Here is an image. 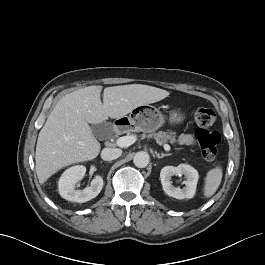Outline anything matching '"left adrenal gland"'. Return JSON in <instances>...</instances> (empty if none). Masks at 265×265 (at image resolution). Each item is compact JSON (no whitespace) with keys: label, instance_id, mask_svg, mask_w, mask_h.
Wrapping results in <instances>:
<instances>
[{"label":"left adrenal gland","instance_id":"a2214340","mask_svg":"<svg viewBox=\"0 0 265 265\" xmlns=\"http://www.w3.org/2000/svg\"><path fill=\"white\" fill-rule=\"evenodd\" d=\"M155 153H156L157 158H159V159H161V158H163L165 156H170L171 155L170 153H168V154L162 153L161 155L159 153H157V152H155Z\"/></svg>","mask_w":265,"mask_h":265}]
</instances>
